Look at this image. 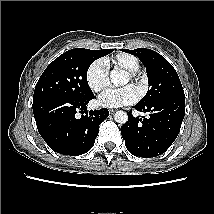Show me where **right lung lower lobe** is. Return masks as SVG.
Listing matches in <instances>:
<instances>
[{"mask_svg":"<svg viewBox=\"0 0 214 214\" xmlns=\"http://www.w3.org/2000/svg\"><path fill=\"white\" fill-rule=\"evenodd\" d=\"M87 98L47 97L33 102V113L41 137L63 155L77 156L94 145L99 125L109 112L106 108L87 111ZM83 114L78 117L77 113Z\"/></svg>","mask_w":214,"mask_h":214,"instance_id":"1","label":"right lung lower lobe"}]
</instances>
